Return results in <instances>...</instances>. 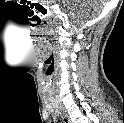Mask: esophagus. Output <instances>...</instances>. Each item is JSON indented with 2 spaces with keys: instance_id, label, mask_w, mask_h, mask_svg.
Here are the masks:
<instances>
[{
  "instance_id": "1",
  "label": "esophagus",
  "mask_w": 124,
  "mask_h": 123,
  "mask_svg": "<svg viewBox=\"0 0 124 123\" xmlns=\"http://www.w3.org/2000/svg\"><path fill=\"white\" fill-rule=\"evenodd\" d=\"M60 114H61L63 123H70V120H69L67 114L63 110H61Z\"/></svg>"
}]
</instances>
